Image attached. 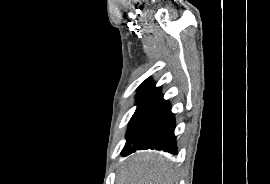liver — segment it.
I'll return each instance as SVG.
<instances>
[{
  "mask_svg": "<svg viewBox=\"0 0 270 184\" xmlns=\"http://www.w3.org/2000/svg\"><path fill=\"white\" fill-rule=\"evenodd\" d=\"M162 155L139 151L123 160L116 176V184H172L174 174Z\"/></svg>",
  "mask_w": 270,
  "mask_h": 184,
  "instance_id": "1",
  "label": "liver"
}]
</instances>
